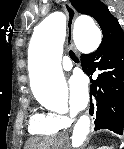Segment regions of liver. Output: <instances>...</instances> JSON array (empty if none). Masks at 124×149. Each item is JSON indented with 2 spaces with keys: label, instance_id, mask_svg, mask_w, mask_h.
Masks as SVG:
<instances>
[{
  "label": "liver",
  "instance_id": "6515ba94",
  "mask_svg": "<svg viewBox=\"0 0 124 149\" xmlns=\"http://www.w3.org/2000/svg\"><path fill=\"white\" fill-rule=\"evenodd\" d=\"M52 143L49 138H32L27 141L25 149H50Z\"/></svg>",
  "mask_w": 124,
  "mask_h": 149
}]
</instances>
